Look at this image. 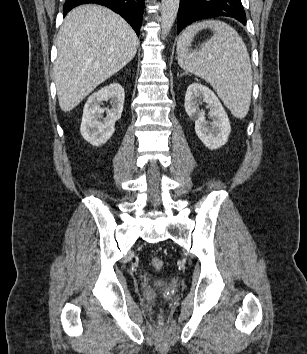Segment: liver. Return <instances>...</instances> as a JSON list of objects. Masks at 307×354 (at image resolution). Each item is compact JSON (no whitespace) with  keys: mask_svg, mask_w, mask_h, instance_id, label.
Segmentation results:
<instances>
[{"mask_svg":"<svg viewBox=\"0 0 307 354\" xmlns=\"http://www.w3.org/2000/svg\"><path fill=\"white\" fill-rule=\"evenodd\" d=\"M138 37L118 14L100 5H81L58 32L54 79L63 112L74 109L98 85L136 55Z\"/></svg>","mask_w":307,"mask_h":354,"instance_id":"obj_1","label":"liver"}]
</instances>
